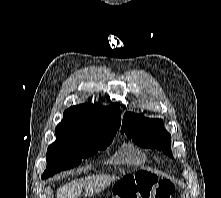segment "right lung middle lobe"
Wrapping results in <instances>:
<instances>
[{"mask_svg": "<svg viewBox=\"0 0 221 198\" xmlns=\"http://www.w3.org/2000/svg\"><path fill=\"white\" fill-rule=\"evenodd\" d=\"M116 130H100L89 135H56V141L47 149V168L41 178L46 179L60 171L78 166L82 159L107 148Z\"/></svg>", "mask_w": 221, "mask_h": 198, "instance_id": "1", "label": "right lung middle lobe"}]
</instances>
